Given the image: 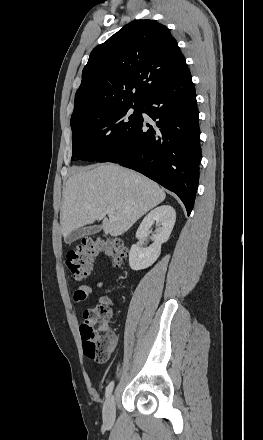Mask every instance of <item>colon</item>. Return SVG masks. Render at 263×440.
I'll list each match as a JSON object with an SVG mask.
<instances>
[{"instance_id":"obj_1","label":"colon","mask_w":263,"mask_h":440,"mask_svg":"<svg viewBox=\"0 0 263 440\" xmlns=\"http://www.w3.org/2000/svg\"><path fill=\"white\" fill-rule=\"evenodd\" d=\"M101 254L107 255L115 268H121L126 248L120 239L100 241L85 238L75 250L68 253L66 266L74 279L84 280L90 275L93 262ZM110 316L107 299H102L84 312L80 333L84 354L91 360H105L115 344L114 335L108 327Z\"/></svg>"}]
</instances>
